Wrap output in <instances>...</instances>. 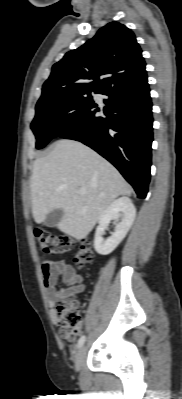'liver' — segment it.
Here are the masks:
<instances>
[{
    "instance_id": "liver-1",
    "label": "liver",
    "mask_w": 182,
    "mask_h": 399,
    "mask_svg": "<svg viewBox=\"0 0 182 399\" xmlns=\"http://www.w3.org/2000/svg\"><path fill=\"white\" fill-rule=\"evenodd\" d=\"M85 188V194L79 189ZM132 189L117 169L86 145L68 139L33 163L31 200L37 224L55 209L63 210L57 228L75 239L85 238L102 212Z\"/></svg>"
}]
</instances>
